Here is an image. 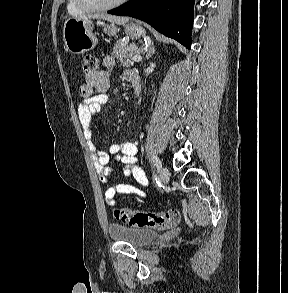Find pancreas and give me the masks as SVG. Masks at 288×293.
<instances>
[{"label":"pancreas","mask_w":288,"mask_h":293,"mask_svg":"<svg viewBox=\"0 0 288 293\" xmlns=\"http://www.w3.org/2000/svg\"><path fill=\"white\" fill-rule=\"evenodd\" d=\"M140 49L136 47L134 44H127V41L118 40L113 48L111 55L116 58L124 66H130V59L134 55H139Z\"/></svg>","instance_id":"1"}]
</instances>
